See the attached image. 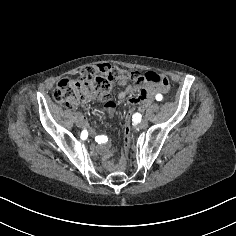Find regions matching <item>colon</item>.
<instances>
[{"instance_id":"obj_1","label":"colon","mask_w":236,"mask_h":236,"mask_svg":"<svg viewBox=\"0 0 236 236\" xmlns=\"http://www.w3.org/2000/svg\"><path fill=\"white\" fill-rule=\"evenodd\" d=\"M118 79L134 83H147L158 87L168 86L169 84L166 77L152 71L140 74L135 71H125L109 64L87 65L80 70L78 78L62 79L56 85L53 97L63 107L73 109L89 97L107 94L113 83ZM142 97L143 94L132 105L138 104ZM132 114L133 109L131 108L126 113L125 118V152L128 151L131 142L130 121Z\"/></svg>"}]
</instances>
